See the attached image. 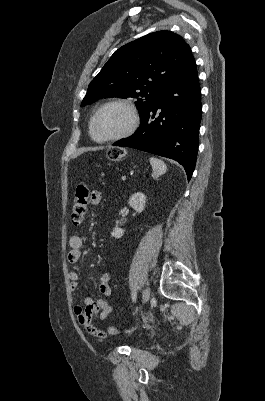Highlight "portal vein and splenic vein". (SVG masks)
Segmentation results:
<instances>
[{
    "mask_svg": "<svg viewBox=\"0 0 265 401\" xmlns=\"http://www.w3.org/2000/svg\"><path fill=\"white\" fill-rule=\"evenodd\" d=\"M121 178H122L123 181H126V180H127V177L124 176V175H121Z\"/></svg>",
    "mask_w": 265,
    "mask_h": 401,
    "instance_id": "obj_1",
    "label": "portal vein and splenic vein"
}]
</instances>
